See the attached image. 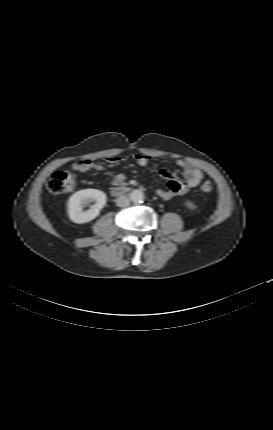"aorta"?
I'll use <instances>...</instances> for the list:
<instances>
[{
  "mask_svg": "<svg viewBox=\"0 0 273 430\" xmlns=\"http://www.w3.org/2000/svg\"><path fill=\"white\" fill-rule=\"evenodd\" d=\"M129 196L133 203H141L144 200V193L140 189H134Z\"/></svg>",
  "mask_w": 273,
  "mask_h": 430,
  "instance_id": "1",
  "label": "aorta"
}]
</instances>
